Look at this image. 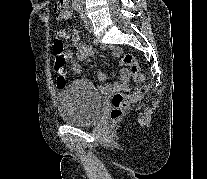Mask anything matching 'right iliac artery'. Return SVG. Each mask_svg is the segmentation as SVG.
Segmentation results:
<instances>
[{
  "mask_svg": "<svg viewBox=\"0 0 207 179\" xmlns=\"http://www.w3.org/2000/svg\"><path fill=\"white\" fill-rule=\"evenodd\" d=\"M79 9H80V7H78V6H77V7H75V10H77V11H78Z\"/></svg>",
  "mask_w": 207,
  "mask_h": 179,
  "instance_id": "82829eb1",
  "label": "right iliac artery"
}]
</instances>
